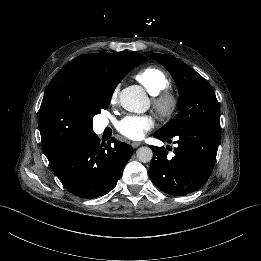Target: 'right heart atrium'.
<instances>
[{
    "label": "right heart atrium",
    "mask_w": 261,
    "mask_h": 261,
    "mask_svg": "<svg viewBox=\"0 0 261 261\" xmlns=\"http://www.w3.org/2000/svg\"><path fill=\"white\" fill-rule=\"evenodd\" d=\"M117 97H118V90L115 89V90L112 92L111 96H110V102H111V103H114V102L117 100Z\"/></svg>",
    "instance_id": "d8ad5b80"
}]
</instances>
